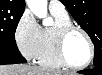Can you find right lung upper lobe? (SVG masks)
<instances>
[{
	"label": "right lung upper lobe",
	"mask_w": 102,
	"mask_h": 75,
	"mask_svg": "<svg viewBox=\"0 0 102 75\" xmlns=\"http://www.w3.org/2000/svg\"><path fill=\"white\" fill-rule=\"evenodd\" d=\"M0 7L15 10H24L25 0H0Z\"/></svg>",
	"instance_id": "1"
}]
</instances>
